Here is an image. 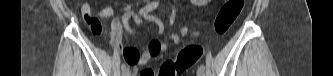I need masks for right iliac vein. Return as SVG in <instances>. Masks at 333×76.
Masks as SVG:
<instances>
[{
  "mask_svg": "<svg viewBox=\"0 0 333 76\" xmlns=\"http://www.w3.org/2000/svg\"><path fill=\"white\" fill-rule=\"evenodd\" d=\"M130 75V71L129 70H124L122 72V76H129Z\"/></svg>",
  "mask_w": 333,
  "mask_h": 76,
  "instance_id": "63e3f726",
  "label": "right iliac vein"
}]
</instances>
